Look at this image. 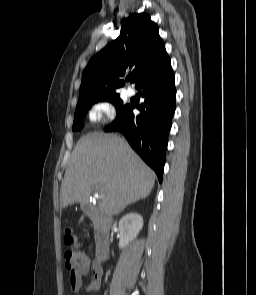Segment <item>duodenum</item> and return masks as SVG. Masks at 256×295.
Here are the masks:
<instances>
[{
  "instance_id": "1",
  "label": "duodenum",
  "mask_w": 256,
  "mask_h": 295,
  "mask_svg": "<svg viewBox=\"0 0 256 295\" xmlns=\"http://www.w3.org/2000/svg\"><path fill=\"white\" fill-rule=\"evenodd\" d=\"M85 214L95 223V245H96V258L98 261L104 260L109 250L108 238V217L99 212L97 207L90 203L82 205Z\"/></svg>"
}]
</instances>
